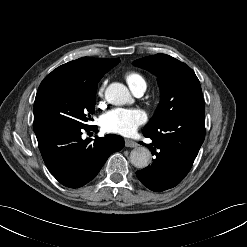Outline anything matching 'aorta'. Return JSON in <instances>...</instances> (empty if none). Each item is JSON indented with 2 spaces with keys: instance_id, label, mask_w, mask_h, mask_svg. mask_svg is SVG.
<instances>
[{
  "instance_id": "762f6f07",
  "label": "aorta",
  "mask_w": 247,
  "mask_h": 247,
  "mask_svg": "<svg viewBox=\"0 0 247 247\" xmlns=\"http://www.w3.org/2000/svg\"><path fill=\"white\" fill-rule=\"evenodd\" d=\"M105 98L110 104L124 105L130 102L131 95L125 85L115 82L107 87ZM130 162L136 168L143 169L150 164L151 153L146 147H137L130 153Z\"/></svg>"
}]
</instances>
